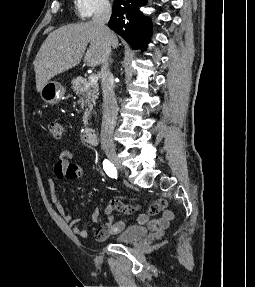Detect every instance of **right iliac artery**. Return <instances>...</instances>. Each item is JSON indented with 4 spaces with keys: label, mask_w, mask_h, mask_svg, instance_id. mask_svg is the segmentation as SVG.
Segmentation results:
<instances>
[{
    "label": "right iliac artery",
    "mask_w": 255,
    "mask_h": 287,
    "mask_svg": "<svg viewBox=\"0 0 255 287\" xmlns=\"http://www.w3.org/2000/svg\"><path fill=\"white\" fill-rule=\"evenodd\" d=\"M103 168L106 174L111 178H117V170L115 166L107 159L103 161Z\"/></svg>",
    "instance_id": "82829eb1"
}]
</instances>
